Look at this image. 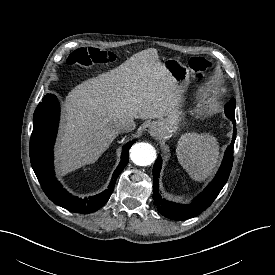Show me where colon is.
Returning <instances> with one entry per match:
<instances>
[{"mask_svg":"<svg viewBox=\"0 0 275 275\" xmlns=\"http://www.w3.org/2000/svg\"><path fill=\"white\" fill-rule=\"evenodd\" d=\"M115 59V54L109 51L99 48H80L69 55L67 62L69 65L88 68L111 63ZM189 66L195 77L201 78L210 69L211 64L203 57H192L189 60Z\"/></svg>","mask_w":275,"mask_h":275,"instance_id":"5ec220e1","label":"colon"}]
</instances>
